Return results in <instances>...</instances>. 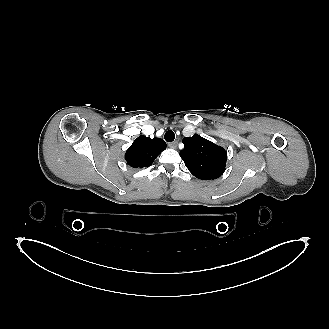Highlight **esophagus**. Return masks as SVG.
I'll return each instance as SVG.
<instances>
[{"mask_svg": "<svg viewBox=\"0 0 329 329\" xmlns=\"http://www.w3.org/2000/svg\"><path fill=\"white\" fill-rule=\"evenodd\" d=\"M177 145H178V143L176 141L175 142H171V143L168 144V146L170 148H172V149H176L177 148Z\"/></svg>", "mask_w": 329, "mask_h": 329, "instance_id": "1", "label": "esophagus"}]
</instances>
